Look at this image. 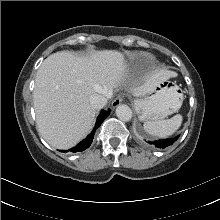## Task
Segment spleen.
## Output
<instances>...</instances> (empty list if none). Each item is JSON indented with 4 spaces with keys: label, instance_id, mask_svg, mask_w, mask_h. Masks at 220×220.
I'll return each mask as SVG.
<instances>
[{
    "label": "spleen",
    "instance_id": "1",
    "mask_svg": "<svg viewBox=\"0 0 220 220\" xmlns=\"http://www.w3.org/2000/svg\"><path fill=\"white\" fill-rule=\"evenodd\" d=\"M182 115L177 114L170 119L144 122V129L153 136L165 138L175 133L182 124Z\"/></svg>",
    "mask_w": 220,
    "mask_h": 220
}]
</instances>
